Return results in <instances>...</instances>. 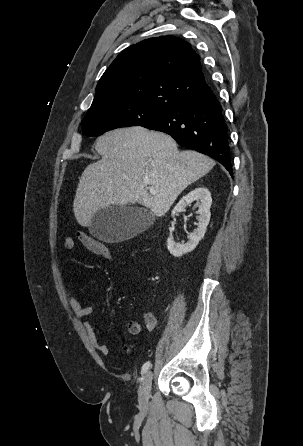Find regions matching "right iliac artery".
<instances>
[{
	"label": "right iliac artery",
	"instance_id": "right-iliac-artery-1",
	"mask_svg": "<svg viewBox=\"0 0 303 446\" xmlns=\"http://www.w3.org/2000/svg\"><path fill=\"white\" fill-rule=\"evenodd\" d=\"M151 366V363L148 361L146 362L143 366H142V373H146L149 369V367Z\"/></svg>",
	"mask_w": 303,
	"mask_h": 446
}]
</instances>
